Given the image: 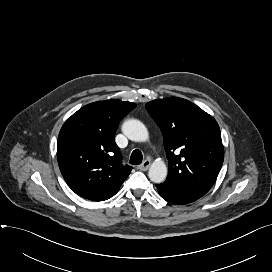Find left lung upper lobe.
Masks as SVG:
<instances>
[{
    "label": "left lung upper lobe",
    "mask_w": 272,
    "mask_h": 272,
    "mask_svg": "<svg viewBox=\"0 0 272 272\" xmlns=\"http://www.w3.org/2000/svg\"><path fill=\"white\" fill-rule=\"evenodd\" d=\"M145 107L164 138L169 171L163 185L176 192L185 188L209 191L224 159L216 120L178 97L156 99Z\"/></svg>",
    "instance_id": "5c2ea615"
}]
</instances>
